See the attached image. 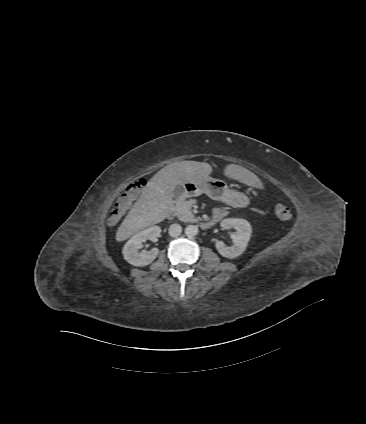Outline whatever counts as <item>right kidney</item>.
<instances>
[{"mask_svg": "<svg viewBox=\"0 0 366 424\" xmlns=\"http://www.w3.org/2000/svg\"><path fill=\"white\" fill-rule=\"evenodd\" d=\"M160 233L161 228L159 226H152L135 234L122 249L124 259L131 265L139 267L152 263L159 253L158 248H152L149 251L142 250L141 252H139V249L142 248L146 240H154L160 236Z\"/></svg>", "mask_w": 366, "mask_h": 424, "instance_id": "ca27d5eb", "label": "right kidney"}]
</instances>
